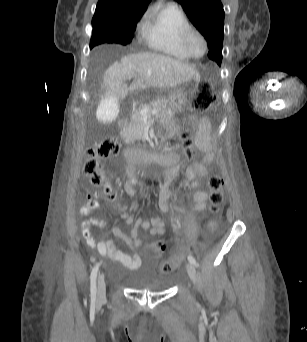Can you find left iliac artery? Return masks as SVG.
I'll return each instance as SVG.
<instances>
[{"label":"left iliac artery","instance_id":"left-iliac-artery-1","mask_svg":"<svg viewBox=\"0 0 307 342\" xmlns=\"http://www.w3.org/2000/svg\"><path fill=\"white\" fill-rule=\"evenodd\" d=\"M188 261L193 265H197L195 258L191 255L188 256Z\"/></svg>","mask_w":307,"mask_h":342}]
</instances>
